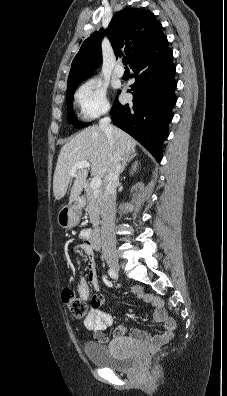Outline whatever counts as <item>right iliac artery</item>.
I'll use <instances>...</instances> for the list:
<instances>
[{"label":"right iliac artery","instance_id":"1","mask_svg":"<svg viewBox=\"0 0 227 396\" xmlns=\"http://www.w3.org/2000/svg\"><path fill=\"white\" fill-rule=\"evenodd\" d=\"M108 274H109V276H110L111 278H113V279H118V273H117L116 271H114V270H112V269H109V270H108Z\"/></svg>","mask_w":227,"mask_h":396}]
</instances>
